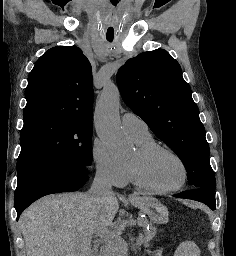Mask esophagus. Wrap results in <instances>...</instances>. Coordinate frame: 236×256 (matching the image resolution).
I'll return each mask as SVG.
<instances>
[{"instance_id":"1","label":"esophagus","mask_w":236,"mask_h":256,"mask_svg":"<svg viewBox=\"0 0 236 256\" xmlns=\"http://www.w3.org/2000/svg\"><path fill=\"white\" fill-rule=\"evenodd\" d=\"M128 197L129 198H135V196L133 194H129Z\"/></svg>"}]
</instances>
